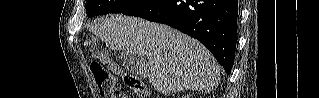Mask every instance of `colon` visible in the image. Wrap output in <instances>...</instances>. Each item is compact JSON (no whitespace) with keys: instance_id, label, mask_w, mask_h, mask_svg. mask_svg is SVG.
I'll use <instances>...</instances> for the list:
<instances>
[{"instance_id":"obj_1","label":"colon","mask_w":319,"mask_h":98,"mask_svg":"<svg viewBox=\"0 0 319 98\" xmlns=\"http://www.w3.org/2000/svg\"><path fill=\"white\" fill-rule=\"evenodd\" d=\"M88 43V42H87ZM107 63H110L106 57H103ZM114 74L107 72L100 64L93 63L90 70L95 79L97 87L102 97L125 98L117 88V76H121L127 88L132 90L137 98H146L148 88L135 75L124 72L118 66L111 64Z\"/></svg>"}]
</instances>
